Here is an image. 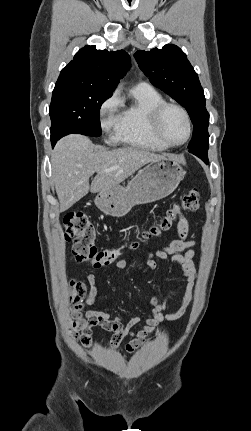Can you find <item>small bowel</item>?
<instances>
[{
    "mask_svg": "<svg viewBox=\"0 0 251 431\" xmlns=\"http://www.w3.org/2000/svg\"><path fill=\"white\" fill-rule=\"evenodd\" d=\"M177 232L178 238L170 241L165 247L155 251H147L148 258L145 262L147 269L150 271L157 270V259L164 261L166 264L175 265L181 270L187 281V288L175 310L164 314L168 305V299L161 302L157 297H152L149 300L151 311L144 318V324L139 325L141 322L139 317H133L128 321H124L119 317H113L108 311L95 309H88L83 314L82 306L74 305L71 308V328L76 333V338L84 347L91 345V330L93 327L98 326L112 333L110 340V347L112 349H117L125 337H130L131 340L126 344L125 349L128 352H133L143 344L146 337L159 324L165 321L177 320L185 313L186 308L192 301V287L197 276L193 262L195 242L187 239L189 223L186 218H180ZM137 248L138 246L136 245L131 249ZM114 267L118 270H124L127 267V263L124 260H118L115 262ZM96 279L97 275L95 273H90L87 276V283L89 285V292L85 300L87 306H92L97 299L98 289ZM136 326H138L137 329H134Z\"/></svg>",
    "mask_w": 251,
    "mask_h": 431,
    "instance_id": "small-bowel-1",
    "label": "small bowel"
}]
</instances>
